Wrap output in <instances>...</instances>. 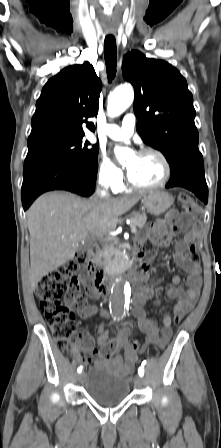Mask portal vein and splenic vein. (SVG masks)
<instances>
[{
  "mask_svg": "<svg viewBox=\"0 0 221 448\" xmlns=\"http://www.w3.org/2000/svg\"><path fill=\"white\" fill-rule=\"evenodd\" d=\"M131 227V233H136L137 229L134 226H130Z\"/></svg>",
  "mask_w": 221,
  "mask_h": 448,
  "instance_id": "1",
  "label": "portal vein and splenic vein"
}]
</instances>
